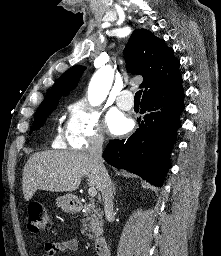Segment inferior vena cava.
I'll return each instance as SVG.
<instances>
[{"label": "inferior vena cava", "instance_id": "1", "mask_svg": "<svg viewBox=\"0 0 221 256\" xmlns=\"http://www.w3.org/2000/svg\"><path fill=\"white\" fill-rule=\"evenodd\" d=\"M103 142H104V137L102 135L94 136L90 143L89 153L92 156L100 172V191L103 197L105 216L109 220L113 217V194H112V182L103 164V158H102Z\"/></svg>", "mask_w": 221, "mask_h": 256}]
</instances>
